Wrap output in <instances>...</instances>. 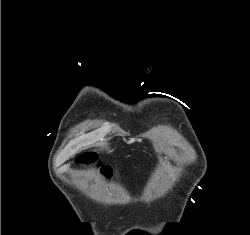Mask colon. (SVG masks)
<instances>
[{
    "label": "colon",
    "mask_w": 250,
    "mask_h": 235,
    "mask_svg": "<svg viewBox=\"0 0 250 235\" xmlns=\"http://www.w3.org/2000/svg\"><path fill=\"white\" fill-rule=\"evenodd\" d=\"M96 160L95 156L92 154H83L78 157L77 162L82 165H90ZM102 171L105 174H110V169L107 166H102Z\"/></svg>",
    "instance_id": "colon-1"
}]
</instances>
